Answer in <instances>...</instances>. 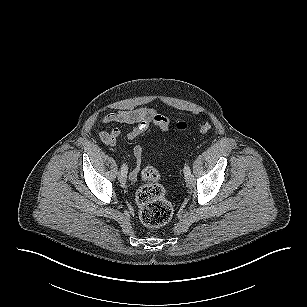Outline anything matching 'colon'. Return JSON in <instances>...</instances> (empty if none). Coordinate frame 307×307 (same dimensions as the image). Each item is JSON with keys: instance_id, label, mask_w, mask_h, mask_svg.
Segmentation results:
<instances>
[{"instance_id": "5ec220e1", "label": "colon", "mask_w": 307, "mask_h": 307, "mask_svg": "<svg viewBox=\"0 0 307 307\" xmlns=\"http://www.w3.org/2000/svg\"><path fill=\"white\" fill-rule=\"evenodd\" d=\"M176 127L185 130L188 126L185 122H179ZM211 128V124L205 122L200 126L199 131L207 134ZM142 178L145 183L138 188L135 196L139 218L146 226H163L171 219L173 207L165 197L163 186L159 183L160 174L155 167L147 166L142 171Z\"/></svg>"}]
</instances>
